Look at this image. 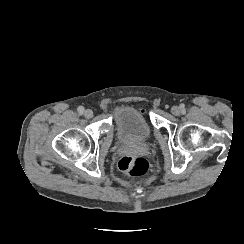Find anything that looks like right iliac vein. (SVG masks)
Returning a JSON list of instances; mask_svg holds the SVG:
<instances>
[{
	"label": "right iliac vein",
	"instance_id": "obj_1",
	"mask_svg": "<svg viewBox=\"0 0 244 244\" xmlns=\"http://www.w3.org/2000/svg\"><path fill=\"white\" fill-rule=\"evenodd\" d=\"M85 118H91L93 116V111L90 109H87L84 111Z\"/></svg>",
	"mask_w": 244,
	"mask_h": 244
}]
</instances>
